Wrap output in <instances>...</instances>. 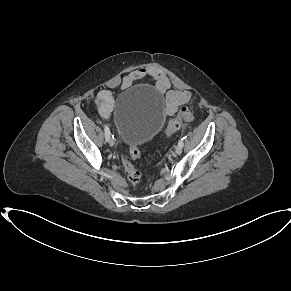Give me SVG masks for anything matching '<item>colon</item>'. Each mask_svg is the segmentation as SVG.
I'll return each mask as SVG.
<instances>
[{"label":"colon","instance_id":"colon-1","mask_svg":"<svg viewBox=\"0 0 291 291\" xmlns=\"http://www.w3.org/2000/svg\"><path fill=\"white\" fill-rule=\"evenodd\" d=\"M191 104L192 101L190 100ZM194 119V113L189 106L180 107L177 115L169 122L166 133L167 136H172L176 131H178L184 122H189ZM130 156L133 159H139L141 157V152L138 147L131 146L129 148ZM122 162L124 169L127 173V178L132 186H136L141 178L140 172L133 166L127 155H123Z\"/></svg>","mask_w":291,"mask_h":291}]
</instances>
